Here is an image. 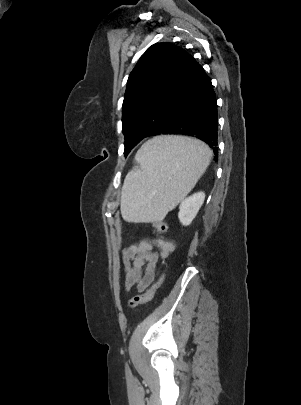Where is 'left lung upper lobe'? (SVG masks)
<instances>
[{
	"mask_svg": "<svg viewBox=\"0 0 301 405\" xmlns=\"http://www.w3.org/2000/svg\"><path fill=\"white\" fill-rule=\"evenodd\" d=\"M193 59L167 42L150 46L141 56L129 75L123 101L125 155L135 138L154 135L185 84Z\"/></svg>",
	"mask_w": 301,
	"mask_h": 405,
	"instance_id": "obj_1",
	"label": "left lung upper lobe"
}]
</instances>
